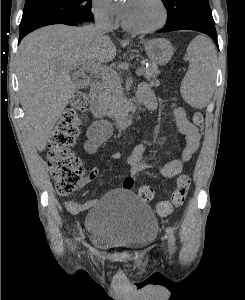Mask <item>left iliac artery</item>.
Masks as SVG:
<instances>
[{"label": "left iliac artery", "mask_w": 245, "mask_h": 300, "mask_svg": "<svg viewBox=\"0 0 245 300\" xmlns=\"http://www.w3.org/2000/svg\"><path fill=\"white\" fill-rule=\"evenodd\" d=\"M168 244L171 252L175 250V237L172 228L167 230Z\"/></svg>", "instance_id": "obj_1"}]
</instances>
